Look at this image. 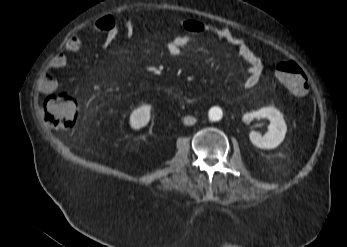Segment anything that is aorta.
Instances as JSON below:
<instances>
[{"label": "aorta", "instance_id": "762f6f07", "mask_svg": "<svg viewBox=\"0 0 347 247\" xmlns=\"http://www.w3.org/2000/svg\"><path fill=\"white\" fill-rule=\"evenodd\" d=\"M208 116L211 121H219L221 120L223 113L219 107H214L209 110Z\"/></svg>", "mask_w": 347, "mask_h": 247}]
</instances>
